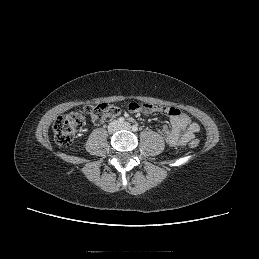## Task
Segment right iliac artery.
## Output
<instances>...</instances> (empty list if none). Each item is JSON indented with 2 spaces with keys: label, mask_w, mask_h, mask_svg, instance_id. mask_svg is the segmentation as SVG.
<instances>
[{
  "label": "right iliac artery",
  "mask_w": 259,
  "mask_h": 259,
  "mask_svg": "<svg viewBox=\"0 0 259 259\" xmlns=\"http://www.w3.org/2000/svg\"><path fill=\"white\" fill-rule=\"evenodd\" d=\"M118 122H119V123H124V118H123V117H120V118L118 119Z\"/></svg>",
  "instance_id": "1"
}]
</instances>
